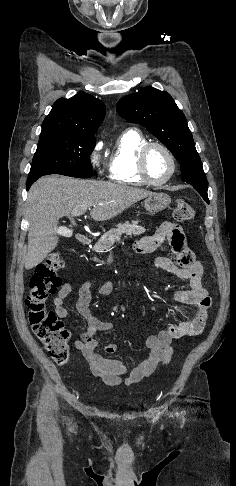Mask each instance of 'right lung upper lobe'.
Masks as SVG:
<instances>
[{"instance_id":"obj_1","label":"right lung upper lobe","mask_w":236,"mask_h":486,"mask_svg":"<svg viewBox=\"0 0 236 486\" xmlns=\"http://www.w3.org/2000/svg\"><path fill=\"white\" fill-rule=\"evenodd\" d=\"M105 116V106L95 97L79 92L58 99L42 123L41 132H64L94 136Z\"/></svg>"}]
</instances>
